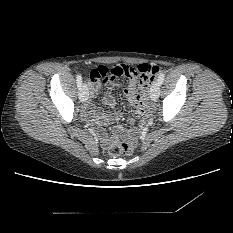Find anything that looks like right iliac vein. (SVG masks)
I'll list each match as a JSON object with an SVG mask.
<instances>
[{
  "label": "right iliac vein",
  "mask_w": 233,
  "mask_h": 233,
  "mask_svg": "<svg viewBox=\"0 0 233 233\" xmlns=\"http://www.w3.org/2000/svg\"><path fill=\"white\" fill-rule=\"evenodd\" d=\"M88 94H89V91H88L87 85H86V84H83V85L79 88V99H80L82 102L87 101V99H88Z\"/></svg>",
  "instance_id": "right-iliac-vein-1"
}]
</instances>
